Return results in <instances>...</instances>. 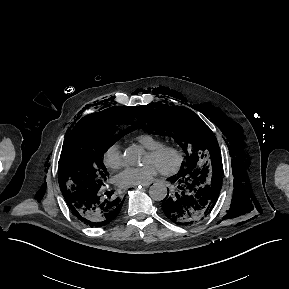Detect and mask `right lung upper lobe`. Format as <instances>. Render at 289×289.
<instances>
[{"instance_id":"cb5924a9","label":"right lung upper lobe","mask_w":289,"mask_h":289,"mask_svg":"<svg viewBox=\"0 0 289 289\" xmlns=\"http://www.w3.org/2000/svg\"><path fill=\"white\" fill-rule=\"evenodd\" d=\"M136 115V107L124 106V107H110L103 111L93 113L83 117L75 126H79L87 123H104V122H116L123 121L130 125H134L137 128V123H134Z\"/></svg>"}]
</instances>
